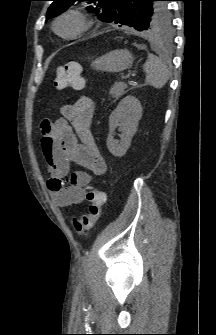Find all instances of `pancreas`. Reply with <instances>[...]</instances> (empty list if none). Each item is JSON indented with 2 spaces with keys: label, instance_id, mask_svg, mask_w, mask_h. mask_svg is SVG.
<instances>
[{
  "label": "pancreas",
  "instance_id": "obj_1",
  "mask_svg": "<svg viewBox=\"0 0 216 335\" xmlns=\"http://www.w3.org/2000/svg\"><path fill=\"white\" fill-rule=\"evenodd\" d=\"M135 87H139L135 85ZM128 85L123 82H116L110 90V95L114 98V101H117L121 96H123L127 91Z\"/></svg>",
  "mask_w": 216,
  "mask_h": 335
}]
</instances>
